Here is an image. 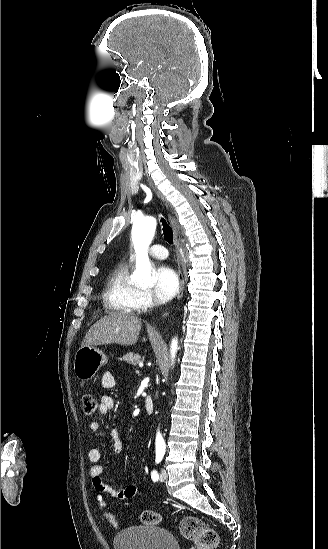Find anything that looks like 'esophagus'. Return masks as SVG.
Segmentation results:
<instances>
[{"mask_svg":"<svg viewBox=\"0 0 328 549\" xmlns=\"http://www.w3.org/2000/svg\"><path fill=\"white\" fill-rule=\"evenodd\" d=\"M169 221L171 222V225L173 227V236H174V244H175V247H176V253H177V262H178V279H179V290H178V295H177V299L180 300L183 296V292H184V278H183V274H182V271H181V260H180V255H179V246H178V223L176 221V219L172 216H169ZM169 315V313L165 312L163 314V317H167Z\"/></svg>","mask_w":328,"mask_h":549,"instance_id":"esophagus-1","label":"esophagus"}]
</instances>
